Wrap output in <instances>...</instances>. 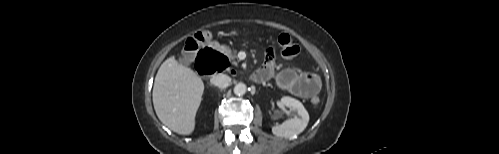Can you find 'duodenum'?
I'll return each instance as SVG.
<instances>
[{"instance_id":"410a0bca","label":"duodenum","mask_w":499,"mask_h":154,"mask_svg":"<svg viewBox=\"0 0 499 154\" xmlns=\"http://www.w3.org/2000/svg\"><path fill=\"white\" fill-rule=\"evenodd\" d=\"M220 56L219 53L211 51L210 53H202L196 60V70L200 75H208L214 73L218 67L214 57ZM251 80L261 82L260 75L256 72L251 75Z\"/></svg>"}]
</instances>
